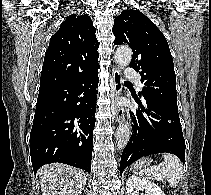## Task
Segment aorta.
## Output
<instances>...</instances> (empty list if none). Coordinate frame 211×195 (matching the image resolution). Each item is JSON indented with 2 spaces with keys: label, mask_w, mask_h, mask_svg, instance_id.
Masks as SVG:
<instances>
[{
  "label": "aorta",
  "mask_w": 211,
  "mask_h": 195,
  "mask_svg": "<svg viewBox=\"0 0 211 195\" xmlns=\"http://www.w3.org/2000/svg\"><path fill=\"white\" fill-rule=\"evenodd\" d=\"M115 62L121 68H124L129 65L132 59V52L129 47L121 46L118 47L115 56ZM131 130L128 123H122L118 126L115 134L116 145L118 149H123L130 138Z\"/></svg>",
  "instance_id": "obj_1"
}]
</instances>
